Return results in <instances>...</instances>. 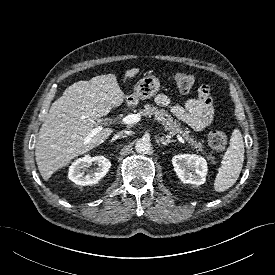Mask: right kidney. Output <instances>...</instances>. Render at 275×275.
Returning <instances> with one entry per match:
<instances>
[{"label": "right kidney", "mask_w": 275, "mask_h": 275, "mask_svg": "<svg viewBox=\"0 0 275 275\" xmlns=\"http://www.w3.org/2000/svg\"><path fill=\"white\" fill-rule=\"evenodd\" d=\"M95 167L88 170L91 165ZM111 167V162L104 156L90 157L85 155L82 158L75 160L69 167L68 178L77 185L85 186L98 183L102 179Z\"/></svg>", "instance_id": "right-kidney-1"}]
</instances>
